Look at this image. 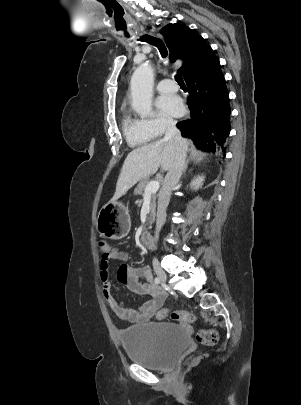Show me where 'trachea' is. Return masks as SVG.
Returning <instances> with one entry per match:
<instances>
[{
    "instance_id": "1",
    "label": "trachea",
    "mask_w": 301,
    "mask_h": 405,
    "mask_svg": "<svg viewBox=\"0 0 301 405\" xmlns=\"http://www.w3.org/2000/svg\"><path fill=\"white\" fill-rule=\"evenodd\" d=\"M140 41L154 45L155 47L158 48V50L163 58L167 57L168 52H167L166 46L160 38H157V37H154L151 35H145L140 38ZM175 80L180 86H185V83L183 81L181 74H176Z\"/></svg>"
}]
</instances>
